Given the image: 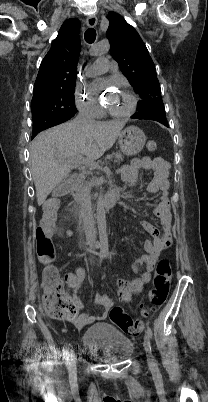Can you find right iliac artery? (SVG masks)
<instances>
[{
    "mask_svg": "<svg viewBox=\"0 0 208 402\" xmlns=\"http://www.w3.org/2000/svg\"><path fill=\"white\" fill-rule=\"evenodd\" d=\"M104 257H105L104 255H102V254L100 255L99 264L102 263ZM62 351H63V356H64L66 359H68V358H69V352H68V347H67V345H64Z\"/></svg>",
    "mask_w": 208,
    "mask_h": 402,
    "instance_id": "right-iliac-artery-1",
    "label": "right iliac artery"
}]
</instances>
